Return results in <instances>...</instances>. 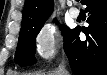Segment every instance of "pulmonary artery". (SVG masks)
Instances as JSON below:
<instances>
[{"label": "pulmonary artery", "mask_w": 107, "mask_h": 75, "mask_svg": "<svg viewBox=\"0 0 107 75\" xmlns=\"http://www.w3.org/2000/svg\"><path fill=\"white\" fill-rule=\"evenodd\" d=\"M69 13L73 18H77L80 12L76 7H71Z\"/></svg>", "instance_id": "e3ab8cb5"}]
</instances>
